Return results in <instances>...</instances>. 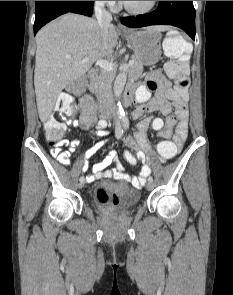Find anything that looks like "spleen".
<instances>
[{"mask_svg":"<svg viewBox=\"0 0 233 295\" xmlns=\"http://www.w3.org/2000/svg\"><path fill=\"white\" fill-rule=\"evenodd\" d=\"M163 50L166 56L185 61L190 59L192 46L181 36L169 34L163 41Z\"/></svg>","mask_w":233,"mask_h":295,"instance_id":"1","label":"spleen"}]
</instances>
